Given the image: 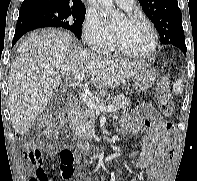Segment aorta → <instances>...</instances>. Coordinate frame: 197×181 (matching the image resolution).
Instances as JSON below:
<instances>
[{"label":"aorta","instance_id":"762f6f07","mask_svg":"<svg viewBox=\"0 0 197 181\" xmlns=\"http://www.w3.org/2000/svg\"><path fill=\"white\" fill-rule=\"evenodd\" d=\"M101 7L105 10L110 22L115 23L122 20L123 15L118 13L113 8V0H98Z\"/></svg>","mask_w":197,"mask_h":181}]
</instances>
